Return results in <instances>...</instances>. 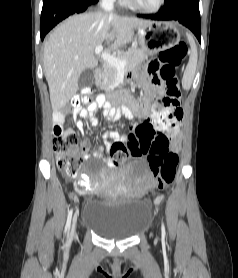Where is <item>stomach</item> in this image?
Here are the masks:
<instances>
[{"instance_id":"0dacf381","label":"stomach","mask_w":238,"mask_h":278,"mask_svg":"<svg viewBox=\"0 0 238 278\" xmlns=\"http://www.w3.org/2000/svg\"><path fill=\"white\" fill-rule=\"evenodd\" d=\"M138 40L147 55L174 47L180 41L178 28L171 22L153 21L138 29Z\"/></svg>"}]
</instances>
